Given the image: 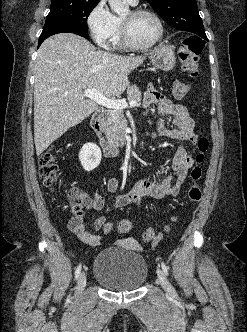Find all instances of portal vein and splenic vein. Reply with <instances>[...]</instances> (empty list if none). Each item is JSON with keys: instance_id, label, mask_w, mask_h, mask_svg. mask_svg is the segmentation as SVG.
Masks as SVG:
<instances>
[{"instance_id": "portal-vein-and-splenic-vein-1", "label": "portal vein and splenic vein", "mask_w": 247, "mask_h": 332, "mask_svg": "<svg viewBox=\"0 0 247 332\" xmlns=\"http://www.w3.org/2000/svg\"><path fill=\"white\" fill-rule=\"evenodd\" d=\"M84 95L86 97L90 98L91 100L95 101L99 105H102L107 108L116 109V110L124 109V108H127L128 106H130V107L139 106L137 101H130L129 103H127L125 100L108 98L94 88H89V89L84 90Z\"/></svg>"}]
</instances>
